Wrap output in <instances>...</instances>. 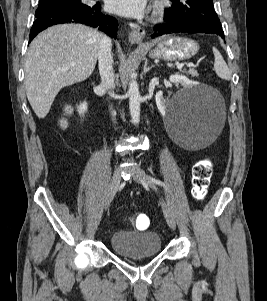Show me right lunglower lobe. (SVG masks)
<instances>
[{"mask_svg": "<svg viewBox=\"0 0 267 301\" xmlns=\"http://www.w3.org/2000/svg\"><path fill=\"white\" fill-rule=\"evenodd\" d=\"M81 23L106 32L116 38L117 20L101 13L100 4L90 5L84 8H66L36 16L30 32L31 40L42 30L60 23ZM111 29V31H109Z\"/></svg>", "mask_w": 267, "mask_h": 301, "instance_id": "1", "label": "right lung lower lobe"}]
</instances>
